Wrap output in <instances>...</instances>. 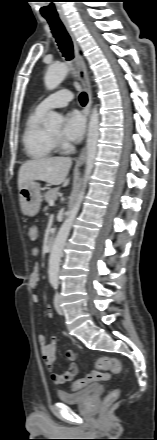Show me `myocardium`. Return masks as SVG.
<instances>
[{"label":"myocardium","instance_id":"myocardium-1","mask_svg":"<svg viewBox=\"0 0 157 440\" xmlns=\"http://www.w3.org/2000/svg\"><path fill=\"white\" fill-rule=\"evenodd\" d=\"M50 136H51V138L53 139V141H54L55 143H57V142L59 141V137L53 135L51 132H50Z\"/></svg>","mask_w":157,"mask_h":440}]
</instances>
